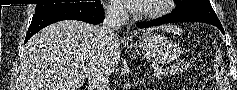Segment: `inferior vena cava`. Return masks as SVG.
I'll return each instance as SVG.
<instances>
[{
	"instance_id": "inferior-vena-cava-1",
	"label": "inferior vena cava",
	"mask_w": 237,
	"mask_h": 90,
	"mask_svg": "<svg viewBox=\"0 0 237 90\" xmlns=\"http://www.w3.org/2000/svg\"><path fill=\"white\" fill-rule=\"evenodd\" d=\"M105 18L100 30V44L98 54L87 66L88 90H110V80L115 68L109 66L110 46L118 40L117 32L128 18V14L122 4H109L104 6ZM119 46V44H117Z\"/></svg>"
}]
</instances>
